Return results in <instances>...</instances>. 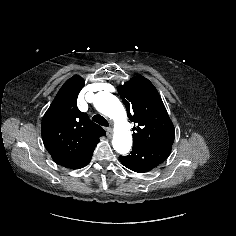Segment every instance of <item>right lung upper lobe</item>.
<instances>
[{"mask_svg":"<svg viewBox=\"0 0 236 236\" xmlns=\"http://www.w3.org/2000/svg\"><path fill=\"white\" fill-rule=\"evenodd\" d=\"M84 87L80 76L68 79L42 119V139L55 163L68 166L93 151L106 132L77 107Z\"/></svg>","mask_w":236,"mask_h":236,"instance_id":"cb5924a9","label":"right lung upper lobe"}]
</instances>
